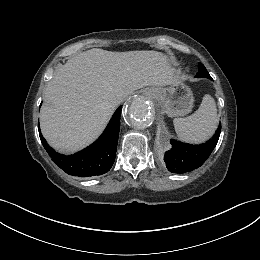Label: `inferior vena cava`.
I'll return each instance as SVG.
<instances>
[{
	"label": "inferior vena cava",
	"mask_w": 260,
	"mask_h": 260,
	"mask_svg": "<svg viewBox=\"0 0 260 260\" xmlns=\"http://www.w3.org/2000/svg\"><path fill=\"white\" fill-rule=\"evenodd\" d=\"M124 98L122 97H118L116 100H115V104L118 105L119 103H121L123 101Z\"/></svg>",
	"instance_id": "inferior-vena-cava-1"
}]
</instances>
